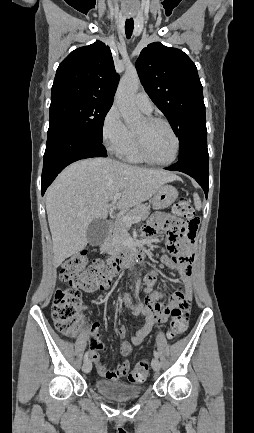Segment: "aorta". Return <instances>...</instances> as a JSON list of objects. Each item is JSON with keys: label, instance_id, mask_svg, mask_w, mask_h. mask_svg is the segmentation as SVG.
<instances>
[{"label": "aorta", "instance_id": "1", "mask_svg": "<svg viewBox=\"0 0 254 433\" xmlns=\"http://www.w3.org/2000/svg\"><path fill=\"white\" fill-rule=\"evenodd\" d=\"M140 80L136 72H127L122 77L118 86L115 102L123 119L129 126L140 122L142 114L134 103L135 94L139 88Z\"/></svg>", "mask_w": 254, "mask_h": 433}]
</instances>
